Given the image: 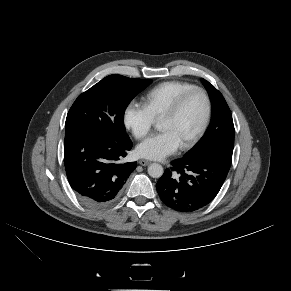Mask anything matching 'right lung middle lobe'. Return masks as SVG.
<instances>
[{
  "instance_id": "1",
  "label": "right lung middle lobe",
  "mask_w": 291,
  "mask_h": 291,
  "mask_svg": "<svg viewBox=\"0 0 291 291\" xmlns=\"http://www.w3.org/2000/svg\"><path fill=\"white\" fill-rule=\"evenodd\" d=\"M151 82L121 75L105 77L75 100L67 114L65 136L75 132L125 133V109Z\"/></svg>"
}]
</instances>
